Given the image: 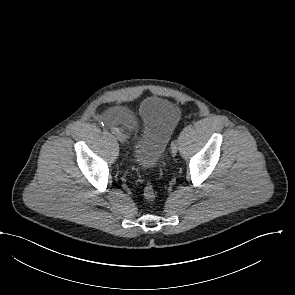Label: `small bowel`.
Instances as JSON below:
<instances>
[{
	"label": "small bowel",
	"mask_w": 295,
	"mask_h": 295,
	"mask_svg": "<svg viewBox=\"0 0 295 295\" xmlns=\"http://www.w3.org/2000/svg\"><path fill=\"white\" fill-rule=\"evenodd\" d=\"M102 120L109 126H122L127 130H133L137 127V119L128 110L124 108H111L103 116Z\"/></svg>",
	"instance_id": "c3829d8e"
}]
</instances>
